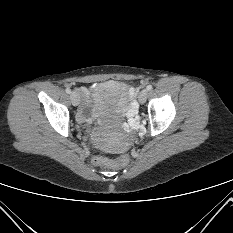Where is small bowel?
I'll use <instances>...</instances> for the list:
<instances>
[{
    "label": "small bowel",
    "instance_id": "c3829d8e",
    "mask_svg": "<svg viewBox=\"0 0 233 233\" xmlns=\"http://www.w3.org/2000/svg\"><path fill=\"white\" fill-rule=\"evenodd\" d=\"M91 89H92V86L89 87V88L86 89V90H82V94H83L85 97H88L89 94H90Z\"/></svg>",
    "mask_w": 233,
    "mask_h": 233
}]
</instances>
